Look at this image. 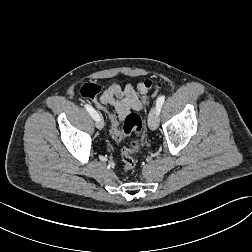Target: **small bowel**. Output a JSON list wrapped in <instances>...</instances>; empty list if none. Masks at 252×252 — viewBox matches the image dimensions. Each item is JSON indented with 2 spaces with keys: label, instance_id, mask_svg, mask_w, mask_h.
Instances as JSON below:
<instances>
[{
  "label": "small bowel",
  "instance_id": "c3829d8e",
  "mask_svg": "<svg viewBox=\"0 0 252 252\" xmlns=\"http://www.w3.org/2000/svg\"><path fill=\"white\" fill-rule=\"evenodd\" d=\"M146 92L142 83L121 87L117 82H113L100 95V102L103 106L112 107L119 120L124 121L131 112L144 108Z\"/></svg>",
  "mask_w": 252,
  "mask_h": 252
}]
</instances>
